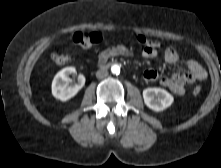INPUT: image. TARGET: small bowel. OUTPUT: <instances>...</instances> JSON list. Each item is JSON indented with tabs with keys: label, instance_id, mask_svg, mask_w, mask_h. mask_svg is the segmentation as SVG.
<instances>
[{
	"label": "small bowel",
	"instance_id": "c3829d8e",
	"mask_svg": "<svg viewBox=\"0 0 221 168\" xmlns=\"http://www.w3.org/2000/svg\"><path fill=\"white\" fill-rule=\"evenodd\" d=\"M157 46L154 48L145 47L143 50V56L145 58H154L157 56ZM132 54L131 50L124 45H115L107 48L99 53L98 61L100 63L106 62L110 57L125 56L128 57ZM164 59L168 63H175L178 61L179 56L177 51L168 47L164 51ZM206 77V71L195 60H189L187 62V71L170 76L159 77V73L155 69H147L144 72V78L147 81L153 82L159 80V83L168 88L172 93L176 95H183L186 90V85L198 80H203Z\"/></svg>",
	"mask_w": 221,
	"mask_h": 168
}]
</instances>
